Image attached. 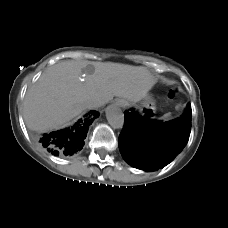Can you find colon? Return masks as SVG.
Wrapping results in <instances>:
<instances>
[{"label": "colon", "instance_id": "5ec220e1", "mask_svg": "<svg viewBox=\"0 0 228 228\" xmlns=\"http://www.w3.org/2000/svg\"><path fill=\"white\" fill-rule=\"evenodd\" d=\"M175 95H176V90H175V89H171V90L169 91V93H168V97H169L170 99H173V98L175 97Z\"/></svg>", "mask_w": 228, "mask_h": 228}]
</instances>
